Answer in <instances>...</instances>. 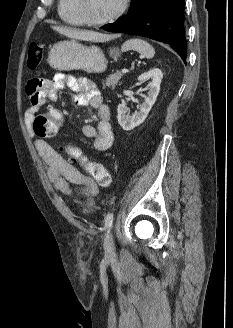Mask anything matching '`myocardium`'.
Returning <instances> with one entry per match:
<instances>
[{
  "label": "myocardium",
  "mask_w": 233,
  "mask_h": 328,
  "mask_svg": "<svg viewBox=\"0 0 233 328\" xmlns=\"http://www.w3.org/2000/svg\"><path fill=\"white\" fill-rule=\"evenodd\" d=\"M129 0H122L120 6L110 15L102 19H93L90 17L86 11L85 0H76V8L80 15L82 16L85 24L90 26H101L104 24L111 23L121 17L127 10Z\"/></svg>",
  "instance_id": "f54148a6"
}]
</instances>
